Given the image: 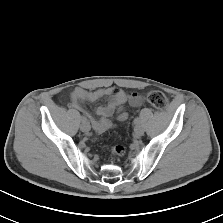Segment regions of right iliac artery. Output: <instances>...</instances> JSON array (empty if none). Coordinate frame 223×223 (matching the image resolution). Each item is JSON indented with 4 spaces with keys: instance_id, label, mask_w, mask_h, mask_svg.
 Masks as SVG:
<instances>
[{
    "instance_id": "right-iliac-artery-1",
    "label": "right iliac artery",
    "mask_w": 223,
    "mask_h": 223,
    "mask_svg": "<svg viewBox=\"0 0 223 223\" xmlns=\"http://www.w3.org/2000/svg\"><path fill=\"white\" fill-rule=\"evenodd\" d=\"M81 120H82V122L85 121L84 118H82Z\"/></svg>"
}]
</instances>
